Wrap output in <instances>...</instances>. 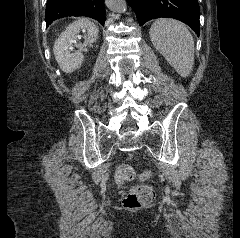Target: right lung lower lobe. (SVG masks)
<instances>
[{
    "instance_id": "obj_1",
    "label": "right lung lower lobe",
    "mask_w": 240,
    "mask_h": 238,
    "mask_svg": "<svg viewBox=\"0 0 240 238\" xmlns=\"http://www.w3.org/2000/svg\"><path fill=\"white\" fill-rule=\"evenodd\" d=\"M67 16H87L104 25V0H47L45 13L47 27L54 20Z\"/></svg>"
}]
</instances>
